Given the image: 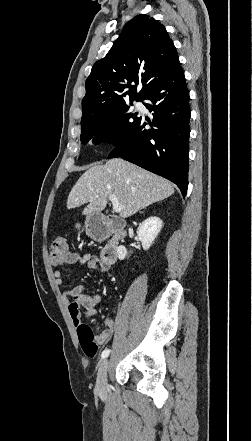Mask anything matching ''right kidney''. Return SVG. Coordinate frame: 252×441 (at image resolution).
<instances>
[{
  "label": "right kidney",
  "mask_w": 252,
  "mask_h": 441,
  "mask_svg": "<svg viewBox=\"0 0 252 441\" xmlns=\"http://www.w3.org/2000/svg\"><path fill=\"white\" fill-rule=\"evenodd\" d=\"M162 226L163 221L157 216L149 217L141 223L137 229V237L144 250H148L151 247L153 241L160 233ZM117 254L118 258L123 260L127 255V249L125 246L120 245L117 249Z\"/></svg>",
  "instance_id": "1"
}]
</instances>
